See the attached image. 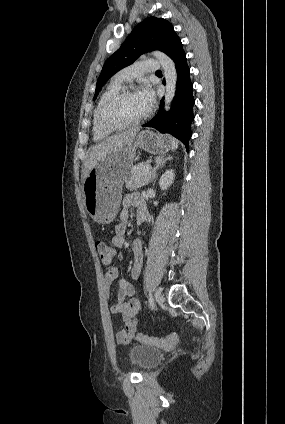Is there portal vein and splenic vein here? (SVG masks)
Returning <instances> with one entry per match:
<instances>
[{
  "label": "portal vein and splenic vein",
  "mask_w": 285,
  "mask_h": 424,
  "mask_svg": "<svg viewBox=\"0 0 285 424\" xmlns=\"http://www.w3.org/2000/svg\"><path fill=\"white\" fill-rule=\"evenodd\" d=\"M150 167H151L150 164L145 165L143 169L144 174H146L149 171Z\"/></svg>",
  "instance_id": "1"
}]
</instances>
